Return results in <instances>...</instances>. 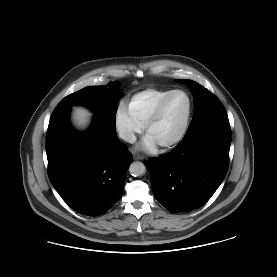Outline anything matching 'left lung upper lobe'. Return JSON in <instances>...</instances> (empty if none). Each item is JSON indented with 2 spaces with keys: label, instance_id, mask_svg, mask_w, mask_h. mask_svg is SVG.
Instances as JSON below:
<instances>
[{
  "label": "left lung upper lobe",
  "instance_id": "5c2ea615",
  "mask_svg": "<svg viewBox=\"0 0 277 277\" xmlns=\"http://www.w3.org/2000/svg\"><path fill=\"white\" fill-rule=\"evenodd\" d=\"M178 81L189 86L195 99V113L187 131L210 118L226 114L222 103L208 89L192 80L179 79Z\"/></svg>",
  "mask_w": 277,
  "mask_h": 277
}]
</instances>
